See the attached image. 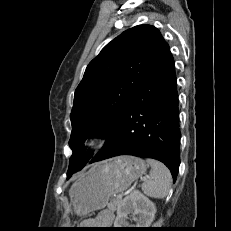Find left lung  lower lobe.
Returning a JSON list of instances; mask_svg holds the SVG:
<instances>
[{"instance_id": "obj_1", "label": "left lung lower lobe", "mask_w": 231, "mask_h": 231, "mask_svg": "<svg viewBox=\"0 0 231 231\" xmlns=\"http://www.w3.org/2000/svg\"><path fill=\"white\" fill-rule=\"evenodd\" d=\"M178 115L174 59L165 43L90 163L119 155L153 158L169 168L175 181L180 163Z\"/></svg>"}]
</instances>
